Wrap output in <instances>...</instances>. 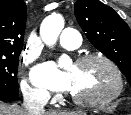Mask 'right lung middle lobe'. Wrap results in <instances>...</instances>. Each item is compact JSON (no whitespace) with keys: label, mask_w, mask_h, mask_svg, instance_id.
I'll return each instance as SVG.
<instances>
[{"label":"right lung middle lobe","mask_w":131,"mask_h":115,"mask_svg":"<svg viewBox=\"0 0 131 115\" xmlns=\"http://www.w3.org/2000/svg\"><path fill=\"white\" fill-rule=\"evenodd\" d=\"M20 53L0 54V97L10 99L19 95L17 70Z\"/></svg>","instance_id":"1"}]
</instances>
